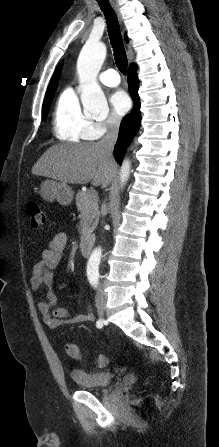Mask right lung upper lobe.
<instances>
[{"label": "right lung upper lobe", "instance_id": "1", "mask_svg": "<svg viewBox=\"0 0 219 447\" xmlns=\"http://www.w3.org/2000/svg\"><path fill=\"white\" fill-rule=\"evenodd\" d=\"M125 39L127 40V36L125 37ZM60 71H61V65H59L57 67V69L55 70V73H54V75L52 77V80H51V82L49 84V88H48V90L46 92L45 99L50 97V96H53V91H55V89H56Z\"/></svg>", "mask_w": 219, "mask_h": 447}]
</instances>
